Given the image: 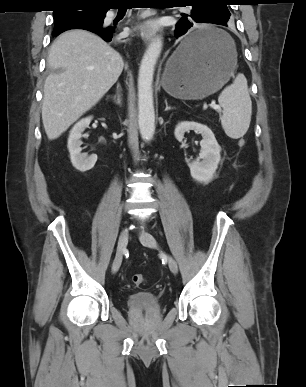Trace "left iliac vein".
Here are the masks:
<instances>
[{"label":"left iliac vein","instance_id":"1","mask_svg":"<svg viewBox=\"0 0 306 387\" xmlns=\"http://www.w3.org/2000/svg\"><path fill=\"white\" fill-rule=\"evenodd\" d=\"M140 242L146 246V247H150V248H155L157 247V242L155 240V238L148 232H143L141 235H140ZM166 259H167V262H168V266H169V269L170 271L173 273V274H176L178 272V265H177V262L174 260L173 257L167 255L166 256Z\"/></svg>","mask_w":306,"mask_h":387}]
</instances>
